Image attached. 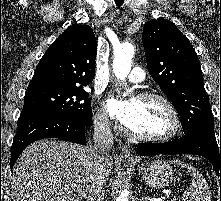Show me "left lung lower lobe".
<instances>
[{
    "mask_svg": "<svg viewBox=\"0 0 221 201\" xmlns=\"http://www.w3.org/2000/svg\"><path fill=\"white\" fill-rule=\"evenodd\" d=\"M141 156L159 154H196L207 158L214 166L221 179V142L216 141L213 134L199 129L191 130L175 141L166 143H142L136 148Z\"/></svg>",
    "mask_w": 221,
    "mask_h": 201,
    "instance_id": "0a47b994",
    "label": "left lung lower lobe"
}]
</instances>
